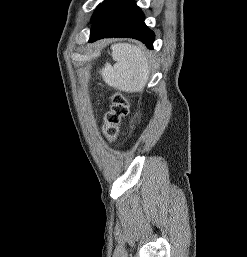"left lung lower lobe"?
Here are the masks:
<instances>
[{
    "instance_id": "obj_1",
    "label": "left lung lower lobe",
    "mask_w": 247,
    "mask_h": 257,
    "mask_svg": "<svg viewBox=\"0 0 247 257\" xmlns=\"http://www.w3.org/2000/svg\"><path fill=\"white\" fill-rule=\"evenodd\" d=\"M89 42L105 37L135 38L153 48L155 35L134 0H105L95 10Z\"/></svg>"
}]
</instances>
